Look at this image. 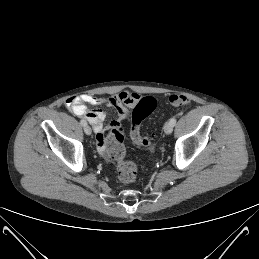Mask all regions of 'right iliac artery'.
Listing matches in <instances>:
<instances>
[{"mask_svg": "<svg viewBox=\"0 0 259 259\" xmlns=\"http://www.w3.org/2000/svg\"><path fill=\"white\" fill-rule=\"evenodd\" d=\"M80 124H81L82 126H85V125H87V122L82 119V120L80 121Z\"/></svg>", "mask_w": 259, "mask_h": 259, "instance_id": "1", "label": "right iliac artery"}]
</instances>
